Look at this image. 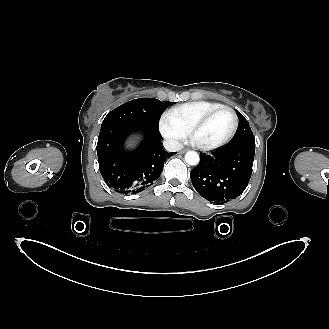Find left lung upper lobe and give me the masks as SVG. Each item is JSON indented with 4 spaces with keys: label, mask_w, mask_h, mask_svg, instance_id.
<instances>
[{
    "label": "left lung upper lobe",
    "mask_w": 329,
    "mask_h": 329,
    "mask_svg": "<svg viewBox=\"0 0 329 329\" xmlns=\"http://www.w3.org/2000/svg\"><path fill=\"white\" fill-rule=\"evenodd\" d=\"M236 114L239 118V124L236 131V134L230 144L238 142H254V136L251 131L248 121L243 117V115L236 110Z\"/></svg>",
    "instance_id": "5c2ea615"
}]
</instances>
